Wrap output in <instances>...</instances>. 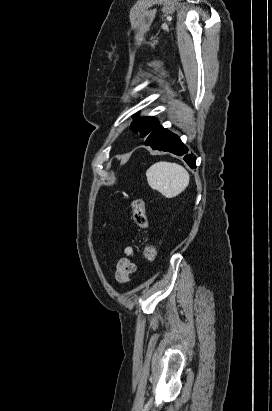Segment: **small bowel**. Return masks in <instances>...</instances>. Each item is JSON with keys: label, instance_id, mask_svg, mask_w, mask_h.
<instances>
[{"label": "small bowel", "instance_id": "small-bowel-1", "mask_svg": "<svg viewBox=\"0 0 272 411\" xmlns=\"http://www.w3.org/2000/svg\"><path fill=\"white\" fill-rule=\"evenodd\" d=\"M125 256L121 257L116 265L115 278L118 283L126 284L130 280V276L137 270L136 263L133 260L134 251L132 247L124 248Z\"/></svg>", "mask_w": 272, "mask_h": 411}]
</instances>
